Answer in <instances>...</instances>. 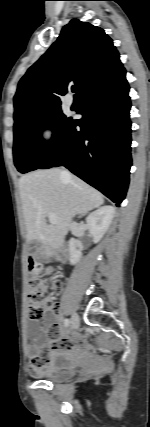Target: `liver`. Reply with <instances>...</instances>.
Wrapping results in <instances>:
<instances>
[{
    "label": "liver",
    "instance_id": "liver-1",
    "mask_svg": "<svg viewBox=\"0 0 150 427\" xmlns=\"http://www.w3.org/2000/svg\"><path fill=\"white\" fill-rule=\"evenodd\" d=\"M58 168L37 170L22 176L19 191L27 231V241L41 243V254L51 256L67 235L72 218L100 207L103 195L80 178L61 175ZM57 223L47 225L48 213Z\"/></svg>",
    "mask_w": 150,
    "mask_h": 427
}]
</instances>
